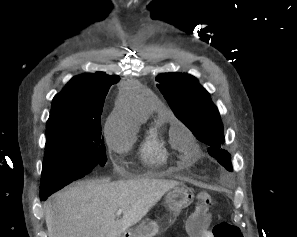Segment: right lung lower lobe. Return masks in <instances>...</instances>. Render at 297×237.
I'll use <instances>...</instances> for the list:
<instances>
[{
  "label": "right lung lower lobe",
  "instance_id": "1",
  "mask_svg": "<svg viewBox=\"0 0 297 237\" xmlns=\"http://www.w3.org/2000/svg\"><path fill=\"white\" fill-rule=\"evenodd\" d=\"M77 180V179H76ZM72 181H74V179H72V180H70L69 182H68V184L69 183H71ZM52 193H54V192H40V199L41 200H45L48 196H50Z\"/></svg>",
  "mask_w": 297,
  "mask_h": 237
}]
</instances>
